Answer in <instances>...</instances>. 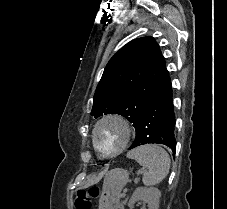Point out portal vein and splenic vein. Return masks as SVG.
Segmentation results:
<instances>
[{
    "label": "portal vein and splenic vein",
    "instance_id": "1",
    "mask_svg": "<svg viewBox=\"0 0 227 209\" xmlns=\"http://www.w3.org/2000/svg\"><path fill=\"white\" fill-rule=\"evenodd\" d=\"M134 183L136 184L137 182L135 181ZM124 192H125V193H128V192H129V189H128V188H125V189H124ZM125 193H122V194L120 195V197H121V198H125V197L127 196Z\"/></svg>",
    "mask_w": 227,
    "mask_h": 209
}]
</instances>
